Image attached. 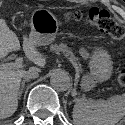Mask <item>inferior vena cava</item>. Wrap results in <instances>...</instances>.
<instances>
[{"mask_svg": "<svg viewBox=\"0 0 125 125\" xmlns=\"http://www.w3.org/2000/svg\"><path fill=\"white\" fill-rule=\"evenodd\" d=\"M38 76H39L38 71L29 70V71H27V72L23 75V78H24L25 80H29V79L37 78Z\"/></svg>", "mask_w": 125, "mask_h": 125, "instance_id": "1", "label": "inferior vena cava"}]
</instances>
